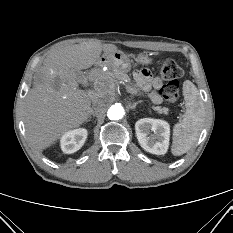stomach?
Here are the masks:
<instances>
[{"label": "stomach", "instance_id": "stomach-1", "mask_svg": "<svg viewBox=\"0 0 233 233\" xmlns=\"http://www.w3.org/2000/svg\"><path fill=\"white\" fill-rule=\"evenodd\" d=\"M135 60L137 63L142 65H147L152 62V58L147 54V52L139 53ZM100 62L123 72H128L131 69V60L129 55L119 50L113 53L104 54L100 59Z\"/></svg>", "mask_w": 233, "mask_h": 233}]
</instances>
